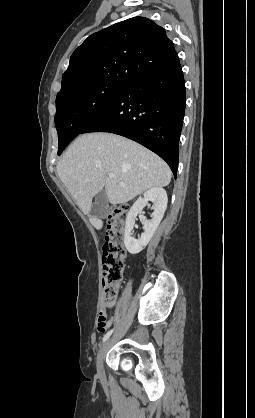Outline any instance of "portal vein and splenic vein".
<instances>
[{"label": "portal vein and splenic vein", "instance_id": "18ae733b", "mask_svg": "<svg viewBox=\"0 0 255 418\" xmlns=\"http://www.w3.org/2000/svg\"><path fill=\"white\" fill-rule=\"evenodd\" d=\"M108 175H109V177H110V178L114 177V174H113V173H109ZM119 184H120L121 186H124V183H119Z\"/></svg>", "mask_w": 255, "mask_h": 418}]
</instances>
